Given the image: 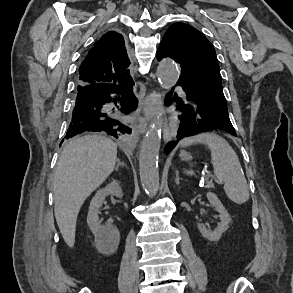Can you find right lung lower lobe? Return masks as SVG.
Masks as SVG:
<instances>
[{
	"label": "right lung lower lobe",
	"mask_w": 293,
	"mask_h": 293,
	"mask_svg": "<svg viewBox=\"0 0 293 293\" xmlns=\"http://www.w3.org/2000/svg\"><path fill=\"white\" fill-rule=\"evenodd\" d=\"M133 85L132 79L122 84L79 85L65 138L85 131L105 132L115 138L130 134V128L121 122L119 115L128 114L137 107ZM112 103L115 107L110 106Z\"/></svg>",
	"instance_id": "obj_1"
}]
</instances>
